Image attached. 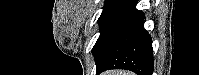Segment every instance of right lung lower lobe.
<instances>
[{"instance_id": "right-lung-lower-lobe-1", "label": "right lung lower lobe", "mask_w": 199, "mask_h": 75, "mask_svg": "<svg viewBox=\"0 0 199 75\" xmlns=\"http://www.w3.org/2000/svg\"><path fill=\"white\" fill-rule=\"evenodd\" d=\"M131 0L107 29L93 53L96 74L108 69H128L137 75H152L154 60L152 40L144 29L145 15Z\"/></svg>"}]
</instances>
